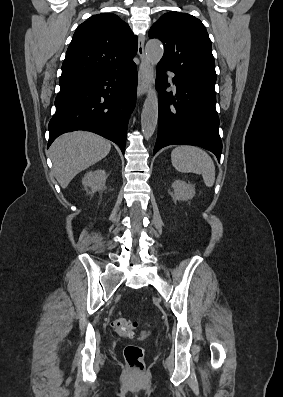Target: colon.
I'll use <instances>...</instances> for the list:
<instances>
[{
  "label": "colon",
  "mask_w": 283,
  "mask_h": 397,
  "mask_svg": "<svg viewBox=\"0 0 283 397\" xmlns=\"http://www.w3.org/2000/svg\"><path fill=\"white\" fill-rule=\"evenodd\" d=\"M137 323L122 316L113 321L114 329L125 337H133ZM149 335V331H144L142 336ZM124 357L129 369L135 373H140L144 369V349L138 345H127L124 349Z\"/></svg>",
  "instance_id": "obj_1"
}]
</instances>
